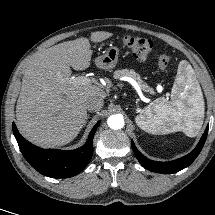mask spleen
Wrapping results in <instances>:
<instances>
[{"label":"spleen","instance_id":"spleen-1","mask_svg":"<svg viewBox=\"0 0 215 215\" xmlns=\"http://www.w3.org/2000/svg\"><path fill=\"white\" fill-rule=\"evenodd\" d=\"M204 99L191 65L183 60L171 91V98H159L136 116L144 130L160 135L182 131L195 137L203 124Z\"/></svg>","mask_w":215,"mask_h":215}]
</instances>
